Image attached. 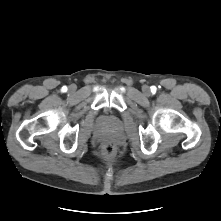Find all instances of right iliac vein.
I'll use <instances>...</instances> for the list:
<instances>
[{
	"label": "right iliac vein",
	"instance_id": "63e3f726",
	"mask_svg": "<svg viewBox=\"0 0 221 221\" xmlns=\"http://www.w3.org/2000/svg\"><path fill=\"white\" fill-rule=\"evenodd\" d=\"M69 90H70V92H74L75 91V86H70Z\"/></svg>",
	"mask_w": 221,
	"mask_h": 221
}]
</instances>
